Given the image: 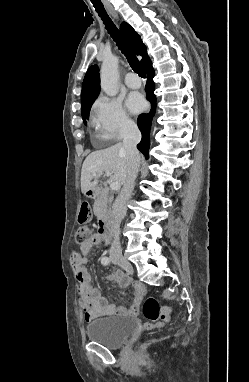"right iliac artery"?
<instances>
[{"instance_id":"1","label":"right iliac artery","mask_w":249,"mask_h":382,"mask_svg":"<svg viewBox=\"0 0 249 382\" xmlns=\"http://www.w3.org/2000/svg\"><path fill=\"white\" fill-rule=\"evenodd\" d=\"M101 262L103 265H108L110 263V259L108 257H104L102 258Z\"/></svg>"}]
</instances>
